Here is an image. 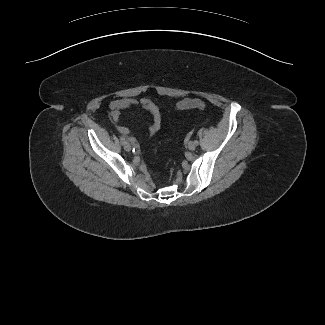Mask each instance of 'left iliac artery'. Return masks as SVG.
<instances>
[{
	"label": "left iliac artery",
	"mask_w": 325,
	"mask_h": 325,
	"mask_svg": "<svg viewBox=\"0 0 325 325\" xmlns=\"http://www.w3.org/2000/svg\"><path fill=\"white\" fill-rule=\"evenodd\" d=\"M194 143H195L196 146L199 144L197 140H195Z\"/></svg>",
	"instance_id": "1"
}]
</instances>
